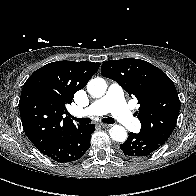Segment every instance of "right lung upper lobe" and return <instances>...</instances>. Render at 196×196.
<instances>
[{
	"label": "right lung upper lobe",
	"mask_w": 196,
	"mask_h": 196,
	"mask_svg": "<svg viewBox=\"0 0 196 196\" xmlns=\"http://www.w3.org/2000/svg\"><path fill=\"white\" fill-rule=\"evenodd\" d=\"M100 63L58 61L36 70L25 82L19 101L24 132L42 152L77 127L63 114L74 93L83 89Z\"/></svg>",
	"instance_id": "obj_1"
}]
</instances>
